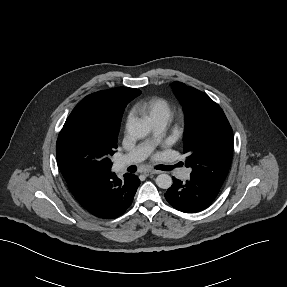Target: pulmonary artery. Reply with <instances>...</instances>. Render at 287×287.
<instances>
[{
	"instance_id": "obj_1",
	"label": "pulmonary artery",
	"mask_w": 287,
	"mask_h": 287,
	"mask_svg": "<svg viewBox=\"0 0 287 287\" xmlns=\"http://www.w3.org/2000/svg\"><path fill=\"white\" fill-rule=\"evenodd\" d=\"M165 127H166V124L164 123H161V122L153 123L152 124V130H153L152 139L149 142L140 144L129 154L121 157L116 162V169L118 171H121L128 165L136 164L144 160L150 152L151 144L158 142L160 140L161 134L164 131ZM190 172H191L190 169L184 168L181 170L180 176L183 179H188L190 176Z\"/></svg>"
}]
</instances>
